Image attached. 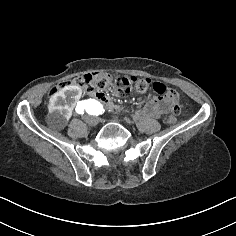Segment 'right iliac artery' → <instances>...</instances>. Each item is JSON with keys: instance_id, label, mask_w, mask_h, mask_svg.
Masks as SVG:
<instances>
[{"instance_id": "obj_1", "label": "right iliac artery", "mask_w": 236, "mask_h": 236, "mask_svg": "<svg viewBox=\"0 0 236 236\" xmlns=\"http://www.w3.org/2000/svg\"><path fill=\"white\" fill-rule=\"evenodd\" d=\"M84 109H85V102L84 101H79L77 103L76 108H75L76 112L78 114H84Z\"/></svg>"}]
</instances>
